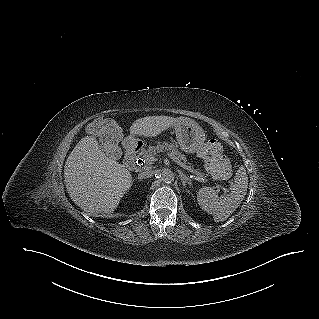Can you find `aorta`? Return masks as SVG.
<instances>
[{"label": "aorta", "instance_id": "762f6f07", "mask_svg": "<svg viewBox=\"0 0 319 319\" xmlns=\"http://www.w3.org/2000/svg\"><path fill=\"white\" fill-rule=\"evenodd\" d=\"M161 180L165 183H172L174 181V173L169 169H164L160 174Z\"/></svg>", "mask_w": 319, "mask_h": 319}]
</instances>
